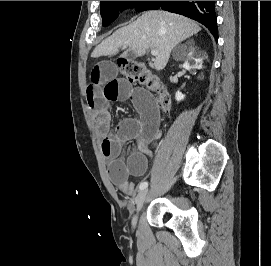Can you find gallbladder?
Here are the masks:
<instances>
[{"mask_svg": "<svg viewBox=\"0 0 271 266\" xmlns=\"http://www.w3.org/2000/svg\"><path fill=\"white\" fill-rule=\"evenodd\" d=\"M126 56H127L128 58H133V57H134V54L131 53V52H129V53L126 54Z\"/></svg>", "mask_w": 271, "mask_h": 266, "instance_id": "1", "label": "gallbladder"}]
</instances>
